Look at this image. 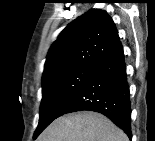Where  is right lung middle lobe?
<instances>
[{"label":"right lung middle lobe","mask_w":155,"mask_h":141,"mask_svg":"<svg viewBox=\"0 0 155 141\" xmlns=\"http://www.w3.org/2000/svg\"><path fill=\"white\" fill-rule=\"evenodd\" d=\"M94 68H74L55 74L42 81L40 118L33 139L56 118L63 107L77 93L92 74Z\"/></svg>","instance_id":"dd1d6c3e"}]
</instances>
